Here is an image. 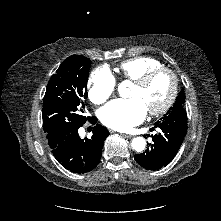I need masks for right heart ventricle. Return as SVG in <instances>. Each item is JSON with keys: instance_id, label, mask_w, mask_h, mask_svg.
Listing matches in <instances>:
<instances>
[{"instance_id": "1", "label": "right heart ventricle", "mask_w": 221, "mask_h": 221, "mask_svg": "<svg viewBox=\"0 0 221 221\" xmlns=\"http://www.w3.org/2000/svg\"><path fill=\"white\" fill-rule=\"evenodd\" d=\"M159 67H162V64L158 60L141 56L121 62L118 71L123 78L135 81L145 73Z\"/></svg>"}]
</instances>
